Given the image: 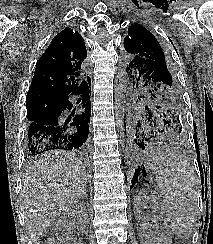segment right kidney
<instances>
[{
	"instance_id": "right-kidney-1",
	"label": "right kidney",
	"mask_w": 213,
	"mask_h": 244,
	"mask_svg": "<svg viewBox=\"0 0 213 244\" xmlns=\"http://www.w3.org/2000/svg\"><path fill=\"white\" fill-rule=\"evenodd\" d=\"M67 216L76 218L77 224L84 228L86 226V223L88 222L86 205L84 204L77 206L75 209L69 211L67 213Z\"/></svg>"
}]
</instances>
